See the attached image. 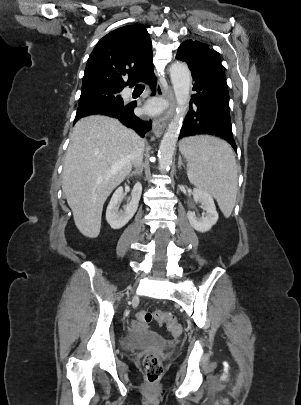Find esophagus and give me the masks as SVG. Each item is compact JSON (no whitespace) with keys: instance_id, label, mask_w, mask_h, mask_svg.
<instances>
[{"instance_id":"34e87169","label":"esophagus","mask_w":301,"mask_h":405,"mask_svg":"<svg viewBox=\"0 0 301 405\" xmlns=\"http://www.w3.org/2000/svg\"><path fill=\"white\" fill-rule=\"evenodd\" d=\"M157 95L164 99L167 102L166 109L164 113L154 119L153 121V132L154 134L159 137L164 132L168 121L173 116L175 112V98L173 89L171 86H168L167 89H163L162 87L157 88Z\"/></svg>"}]
</instances>
